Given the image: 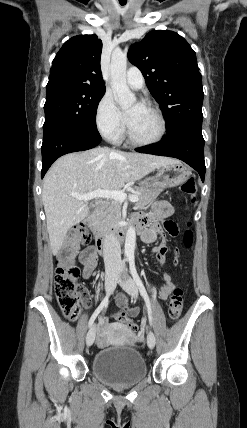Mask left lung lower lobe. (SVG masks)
Here are the masks:
<instances>
[{
    "instance_id": "1",
    "label": "left lung lower lobe",
    "mask_w": 247,
    "mask_h": 428,
    "mask_svg": "<svg viewBox=\"0 0 247 428\" xmlns=\"http://www.w3.org/2000/svg\"><path fill=\"white\" fill-rule=\"evenodd\" d=\"M137 152L178 158L200 175L204 182V139L202 122H189L168 131L164 140L156 145L136 149Z\"/></svg>"
}]
</instances>
